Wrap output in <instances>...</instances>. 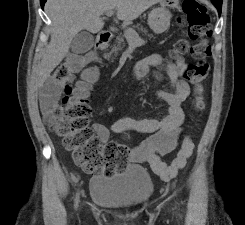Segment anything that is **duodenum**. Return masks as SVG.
Masks as SVG:
<instances>
[{"label": "duodenum", "instance_id": "410a0bca", "mask_svg": "<svg viewBox=\"0 0 245 225\" xmlns=\"http://www.w3.org/2000/svg\"><path fill=\"white\" fill-rule=\"evenodd\" d=\"M111 40V33L109 31H101L97 34V46L99 49L105 48V46Z\"/></svg>", "mask_w": 245, "mask_h": 225}]
</instances>
